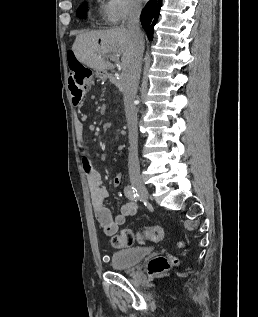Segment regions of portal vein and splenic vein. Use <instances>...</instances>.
Returning <instances> with one entry per match:
<instances>
[{
  "mask_svg": "<svg viewBox=\"0 0 258 317\" xmlns=\"http://www.w3.org/2000/svg\"><path fill=\"white\" fill-rule=\"evenodd\" d=\"M114 56H119V54H114ZM111 58H113V56H111ZM116 62H118V60H116Z\"/></svg>",
  "mask_w": 258,
  "mask_h": 317,
  "instance_id": "portal-vein-and-splenic-vein-1",
  "label": "portal vein and splenic vein"
}]
</instances>
